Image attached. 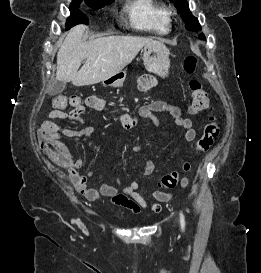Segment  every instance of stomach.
I'll return each instance as SVG.
<instances>
[{
  "instance_id": "1",
  "label": "stomach",
  "mask_w": 261,
  "mask_h": 273,
  "mask_svg": "<svg viewBox=\"0 0 261 273\" xmlns=\"http://www.w3.org/2000/svg\"><path fill=\"white\" fill-rule=\"evenodd\" d=\"M142 53L144 65L149 72L161 77L168 75L170 67L169 52L163 43L153 41L143 47ZM125 78L126 73L121 70L104 80L103 83L119 87L123 85Z\"/></svg>"
}]
</instances>
